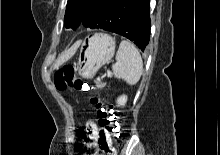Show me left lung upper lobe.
Instances as JSON below:
<instances>
[{
	"instance_id": "5c2ea615",
	"label": "left lung upper lobe",
	"mask_w": 220,
	"mask_h": 155,
	"mask_svg": "<svg viewBox=\"0 0 220 155\" xmlns=\"http://www.w3.org/2000/svg\"><path fill=\"white\" fill-rule=\"evenodd\" d=\"M98 0H68L64 24L75 29L82 22L86 13Z\"/></svg>"
}]
</instances>
